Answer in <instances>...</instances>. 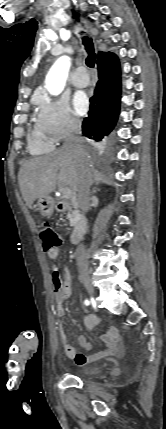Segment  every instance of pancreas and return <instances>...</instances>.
<instances>
[{
	"label": "pancreas",
	"mask_w": 166,
	"mask_h": 429,
	"mask_svg": "<svg viewBox=\"0 0 166 429\" xmlns=\"http://www.w3.org/2000/svg\"><path fill=\"white\" fill-rule=\"evenodd\" d=\"M67 218L69 219L70 224H71L72 226H74V225H75V223H74V213H73L72 211L68 212V214H67Z\"/></svg>",
	"instance_id": "pancreas-1"
}]
</instances>
